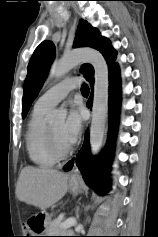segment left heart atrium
<instances>
[{
  "label": "left heart atrium",
  "mask_w": 158,
  "mask_h": 237,
  "mask_svg": "<svg viewBox=\"0 0 158 237\" xmlns=\"http://www.w3.org/2000/svg\"><path fill=\"white\" fill-rule=\"evenodd\" d=\"M82 130V116L78 107H71L66 121L63 124L61 135L63 140L69 145H73L79 138Z\"/></svg>",
  "instance_id": "39dd6f15"
}]
</instances>
